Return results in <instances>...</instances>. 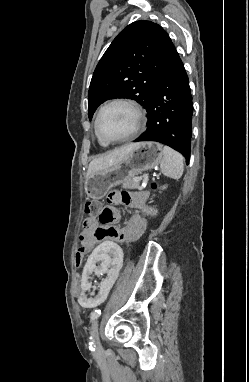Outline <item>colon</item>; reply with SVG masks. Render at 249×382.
<instances>
[{"label": "colon", "instance_id": "colon-1", "mask_svg": "<svg viewBox=\"0 0 249 382\" xmlns=\"http://www.w3.org/2000/svg\"><path fill=\"white\" fill-rule=\"evenodd\" d=\"M155 187V185H154ZM105 207L102 206L101 202L98 200H91L86 202L84 211L87 214L93 215V216H98L100 215L101 211ZM82 260H83V250L79 249L77 254H76V266L75 269L77 271H80L82 269Z\"/></svg>", "mask_w": 249, "mask_h": 382}]
</instances>
